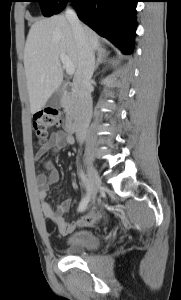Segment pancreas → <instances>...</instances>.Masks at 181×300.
<instances>
[{
  "label": "pancreas",
  "instance_id": "obj_1",
  "mask_svg": "<svg viewBox=\"0 0 181 300\" xmlns=\"http://www.w3.org/2000/svg\"><path fill=\"white\" fill-rule=\"evenodd\" d=\"M63 107H64V111L66 113H68L69 111H71L72 108V99L70 97H66L62 103Z\"/></svg>",
  "mask_w": 181,
  "mask_h": 300
}]
</instances>
